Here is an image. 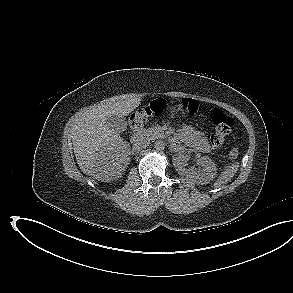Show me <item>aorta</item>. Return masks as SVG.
<instances>
[{
    "label": "aorta",
    "instance_id": "aorta-1",
    "mask_svg": "<svg viewBox=\"0 0 293 293\" xmlns=\"http://www.w3.org/2000/svg\"><path fill=\"white\" fill-rule=\"evenodd\" d=\"M154 147L156 150L161 151L165 148V143L162 140H158L155 142Z\"/></svg>",
    "mask_w": 293,
    "mask_h": 293
}]
</instances>
